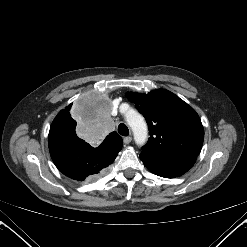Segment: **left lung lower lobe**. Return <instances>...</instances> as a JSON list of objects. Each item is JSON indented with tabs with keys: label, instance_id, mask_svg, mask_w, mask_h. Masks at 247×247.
Here are the masks:
<instances>
[{
	"label": "left lung lower lobe",
	"instance_id": "left-lung-lower-lobe-1",
	"mask_svg": "<svg viewBox=\"0 0 247 247\" xmlns=\"http://www.w3.org/2000/svg\"><path fill=\"white\" fill-rule=\"evenodd\" d=\"M140 159L149 171L165 178L183 175L196 161V157L169 158L152 156L144 152L140 154Z\"/></svg>",
	"mask_w": 247,
	"mask_h": 247
}]
</instances>
